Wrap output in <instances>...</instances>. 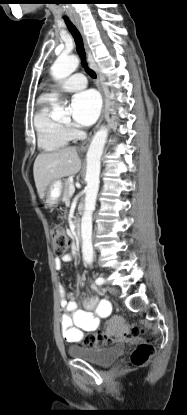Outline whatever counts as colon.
I'll return each instance as SVG.
<instances>
[{
    "label": "colon",
    "instance_id": "colon-1",
    "mask_svg": "<svg viewBox=\"0 0 187 415\" xmlns=\"http://www.w3.org/2000/svg\"><path fill=\"white\" fill-rule=\"evenodd\" d=\"M53 240V252L56 256L63 255L69 247L70 241L64 229L60 225L51 228ZM144 331L136 326L127 327L125 324L116 321L113 325L94 335L86 337L85 342L90 346L100 348L108 346L121 339H132L142 335ZM155 351L152 340L147 339L141 342L131 354V362L135 366L145 365Z\"/></svg>",
    "mask_w": 187,
    "mask_h": 415
}]
</instances>
